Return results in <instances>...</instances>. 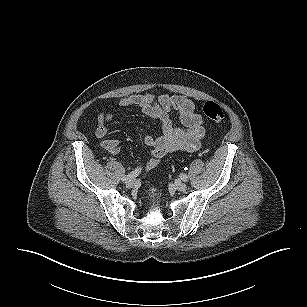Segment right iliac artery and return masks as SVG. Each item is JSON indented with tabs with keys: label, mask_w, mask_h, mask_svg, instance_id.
Here are the masks:
<instances>
[{
	"label": "right iliac artery",
	"mask_w": 307,
	"mask_h": 307,
	"mask_svg": "<svg viewBox=\"0 0 307 307\" xmlns=\"http://www.w3.org/2000/svg\"><path fill=\"white\" fill-rule=\"evenodd\" d=\"M140 172H141V168H137L134 171H132L131 173H129L128 175L124 176L122 178V181L124 183H128L131 180H133L134 178H136L139 175Z\"/></svg>",
	"instance_id": "right-iliac-artery-1"
}]
</instances>
